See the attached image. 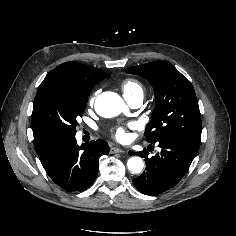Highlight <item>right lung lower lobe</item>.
Returning <instances> with one entry per match:
<instances>
[{
	"label": "right lung lower lobe",
	"instance_id": "obj_1",
	"mask_svg": "<svg viewBox=\"0 0 236 236\" xmlns=\"http://www.w3.org/2000/svg\"><path fill=\"white\" fill-rule=\"evenodd\" d=\"M34 147L49 177L68 192L90 187L99 169V158L109 153L102 140L77 145L74 136L34 137Z\"/></svg>",
	"mask_w": 236,
	"mask_h": 236
}]
</instances>
